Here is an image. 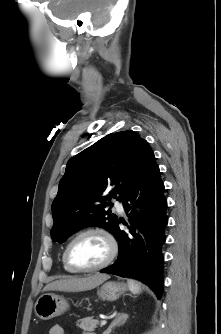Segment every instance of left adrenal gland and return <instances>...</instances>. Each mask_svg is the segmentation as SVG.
Instances as JSON below:
<instances>
[{
	"label": "left adrenal gland",
	"mask_w": 221,
	"mask_h": 334,
	"mask_svg": "<svg viewBox=\"0 0 221 334\" xmlns=\"http://www.w3.org/2000/svg\"><path fill=\"white\" fill-rule=\"evenodd\" d=\"M128 317L129 316L126 313H118L111 322L110 326L103 332V334H110L112 329L123 325L127 321Z\"/></svg>",
	"instance_id": "1"
}]
</instances>
